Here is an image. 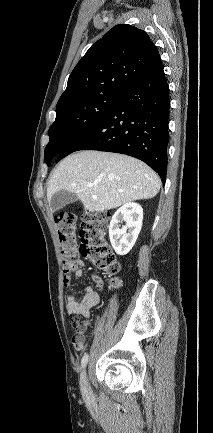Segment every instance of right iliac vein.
Instances as JSON below:
<instances>
[{
	"label": "right iliac vein",
	"mask_w": 213,
	"mask_h": 433,
	"mask_svg": "<svg viewBox=\"0 0 213 433\" xmlns=\"http://www.w3.org/2000/svg\"><path fill=\"white\" fill-rule=\"evenodd\" d=\"M80 386H81V391L82 394L87 398L90 399L92 396V391H91V387L87 378V374L86 371H84L81 374V378H80Z\"/></svg>",
	"instance_id": "63e3f726"
}]
</instances>
